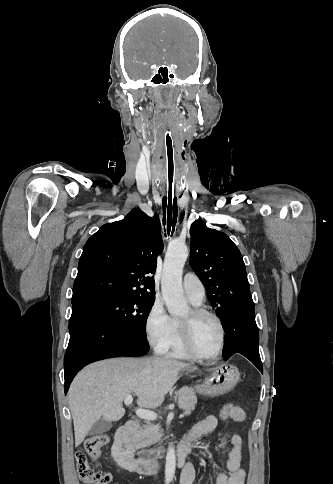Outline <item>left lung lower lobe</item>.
Here are the masks:
<instances>
[{
  "mask_svg": "<svg viewBox=\"0 0 333 484\" xmlns=\"http://www.w3.org/2000/svg\"><path fill=\"white\" fill-rule=\"evenodd\" d=\"M222 320L226 343L223 359L227 360L234 353H240L262 371L258 350L259 332L251 294L243 295L230 305Z\"/></svg>",
  "mask_w": 333,
  "mask_h": 484,
  "instance_id": "0a47b994",
  "label": "left lung lower lobe"
}]
</instances>
